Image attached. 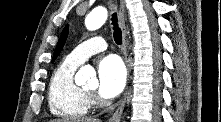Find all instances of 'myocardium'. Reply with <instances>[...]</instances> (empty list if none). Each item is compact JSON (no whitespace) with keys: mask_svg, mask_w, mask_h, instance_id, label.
Masks as SVG:
<instances>
[{"mask_svg":"<svg viewBox=\"0 0 221 122\" xmlns=\"http://www.w3.org/2000/svg\"><path fill=\"white\" fill-rule=\"evenodd\" d=\"M88 96H89V93L87 91H84Z\"/></svg>","mask_w":221,"mask_h":122,"instance_id":"1","label":"myocardium"}]
</instances>
